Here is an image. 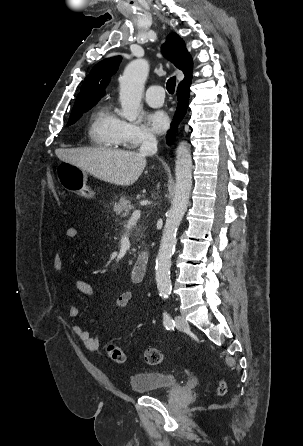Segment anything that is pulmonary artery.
Here are the masks:
<instances>
[{"label":"pulmonary artery","instance_id":"e3ab8cb5","mask_svg":"<svg viewBox=\"0 0 303 446\" xmlns=\"http://www.w3.org/2000/svg\"><path fill=\"white\" fill-rule=\"evenodd\" d=\"M146 102L152 107H160L164 102V89L158 85L150 86L145 93Z\"/></svg>","mask_w":303,"mask_h":446}]
</instances>
